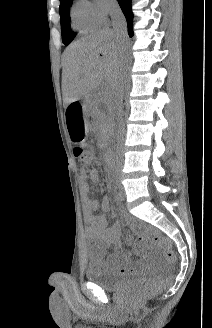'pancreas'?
Returning <instances> with one entry per match:
<instances>
[{"instance_id": "1", "label": "pancreas", "mask_w": 212, "mask_h": 328, "mask_svg": "<svg viewBox=\"0 0 212 328\" xmlns=\"http://www.w3.org/2000/svg\"><path fill=\"white\" fill-rule=\"evenodd\" d=\"M106 97L98 95L95 97L94 101V110L93 113L98 120V127L100 130L99 138L103 139L106 137L107 132L109 131V116L101 112L97 106L100 102L105 101Z\"/></svg>"}]
</instances>
